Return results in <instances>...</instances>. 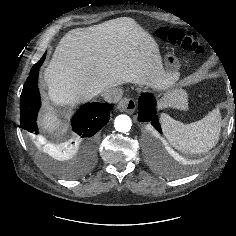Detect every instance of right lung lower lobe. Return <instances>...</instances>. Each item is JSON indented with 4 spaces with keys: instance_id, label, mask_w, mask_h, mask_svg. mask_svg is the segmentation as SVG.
<instances>
[{
    "instance_id": "obj_1",
    "label": "right lung lower lobe",
    "mask_w": 236,
    "mask_h": 236,
    "mask_svg": "<svg viewBox=\"0 0 236 236\" xmlns=\"http://www.w3.org/2000/svg\"><path fill=\"white\" fill-rule=\"evenodd\" d=\"M44 60L45 54L32 67L20 97V125L27 132L36 135L39 133L37 113L41 105L37 81L39 68ZM112 108L113 104L105 103H87L82 106L71 121L73 133L62 145V150L71 153L78 149L86 159L93 157L97 144L96 133L109 121ZM34 139L45 146L46 142L42 138Z\"/></svg>"
}]
</instances>
